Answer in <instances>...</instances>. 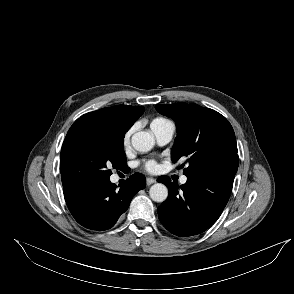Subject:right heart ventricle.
Here are the masks:
<instances>
[{
	"label": "right heart ventricle",
	"mask_w": 294,
	"mask_h": 294,
	"mask_svg": "<svg viewBox=\"0 0 294 294\" xmlns=\"http://www.w3.org/2000/svg\"><path fill=\"white\" fill-rule=\"evenodd\" d=\"M170 121L163 117H156L150 123V128L152 131L158 129L159 127L169 123Z\"/></svg>",
	"instance_id": "e07e8e85"
}]
</instances>
